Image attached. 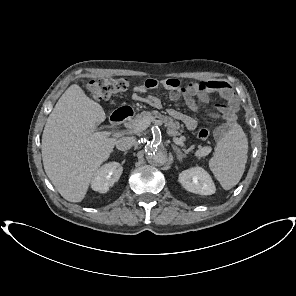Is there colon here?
<instances>
[{"instance_id": "colon-1", "label": "colon", "mask_w": 296, "mask_h": 296, "mask_svg": "<svg viewBox=\"0 0 296 296\" xmlns=\"http://www.w3.org/2000/svg\"><path fill=\"white\" fill-rule=\"evenodd\" d=\"M129 83L124 78H101L91 81L87 88L90 94L97 100L108 99L114 95H121L127 91ZM211 131L207 127H202L198 131L201 141H207Z\"/></svg>"}]
</instances>
